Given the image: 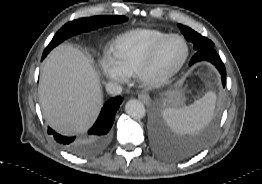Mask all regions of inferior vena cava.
<instances>
[{"label": "inferior vena cava", "instance_id": "obj_1", "mask_svg": "<svg viewBox=\"0 0 262 184\" xmlns=\"http://www.w3.org/2000/svg\"><path fill=\"white\" fill-rule=\"evenodd\" d=\"M106 91L111 95H119L122 92V87L114 82H109L105 86Z\"/></svg>", "mask_w": 262, "mask_h": 184}]
</instances>
